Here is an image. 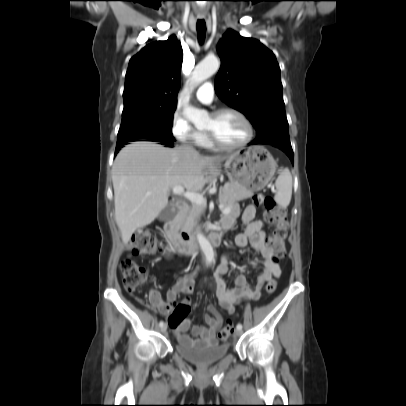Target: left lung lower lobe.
I'll use <instances>...</instances> for the list:
<instances>
[{
	"label": "left lung lower lobe",
	"mask_w": 406,
	"mask_h": 406,
	"mask_svg": "<svg viewBox=\"0 0 406 406\" xmlns=\"http://www.w3.org/2000/svg\"><path fill=\"white\" fill-rule=\"evenodd\" d=\"M256 144H267V145H273L274 147L280 148L290 157L292 163L294 162L293 151H292L290 141H282V140H278V139L266 138V139H255L254 141L249 143V145H256Z\"/></svg>",
	"instance_id": "obj_1"
}]
</instances>
